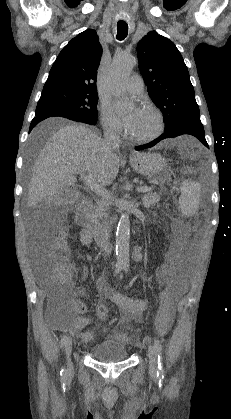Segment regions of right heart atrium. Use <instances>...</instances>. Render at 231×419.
Segmentation results:
<instances>
[{
  "mask_svg": "<svg viewBox=\"0 0 231 419\" xmlns=\"http://www.w3.org/2000/svg\"><path fill=\"white\" fill-rule=\"evenodd\" d=\"M100 118L105 132L109 135L118 136L122 132V127L112 114L110 106L103 102L100 105Z\"/></svg>",
  "mask_w": 231,
  "mask_h": 419,
  "instance_id": "d8ad5b80",
  "label": "right heart atrium"
}]
</instances>
